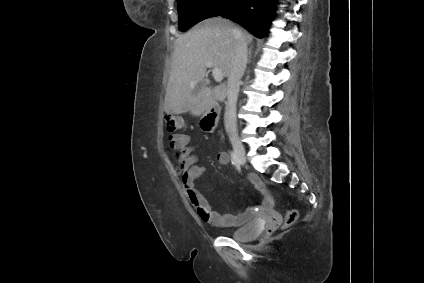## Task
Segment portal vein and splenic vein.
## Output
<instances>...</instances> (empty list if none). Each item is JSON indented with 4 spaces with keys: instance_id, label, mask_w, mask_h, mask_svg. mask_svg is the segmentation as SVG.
<instances>
[{
    "instance_id": "18ae733b",
    "label": "portal vein and splenic vein",
    "mask_w": 424,
    "mask_h": 283,
    "mask_svg": "<svg viewBox=\"0 0 424 283\" xmlns=\"http://www.w3.org/2000/svg\"><path fill=\"white\" fill-rule=\"evenodd\" d=\"M206 66L211 69L212 75L216 82H221L223 80L224 75L222 71L218 67H216L212 62H207Z\"/></svg>"
}]
</instances>
